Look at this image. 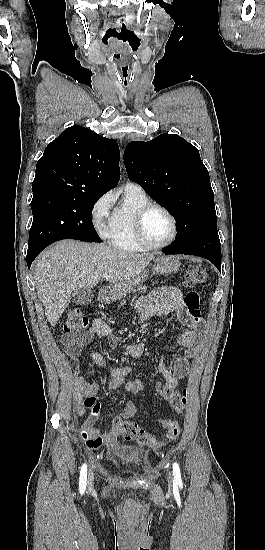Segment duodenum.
<instances>
[{"instance_id": "obj_1", "label": "duodenum", "mask_w": 265, "mask_h": 550, "mask_svg": "<svg viewBox=\"0 0 265 550\" xmlns=\"http://www.w3.org/2000/svg\"><path fill=\"white\" fill-rule=\"evenodd\" d=\"M111 295V292H104L101 294V299L105 300Z\"/></svg>"}]
</instances>
